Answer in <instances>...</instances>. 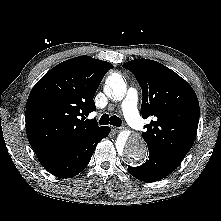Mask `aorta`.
Here are the masks:
<instances>
[{
    "label": "aorta",
    "instance_id": "aorta-1",
    "mask_svg": "<svg viewBox=\"0 0 221 221\" xmlns=\"http://www.w3.org/2000/svg\"><path fill=\"white\" fill-rule=\"evenodd\" d=\"M104 90L109 98L122 100L126 94L127 87L122 76L118 73H113L108 78ZM116 147L129 162L133 163L142 162L148 153L146 143L139 134H120L116 141Z\"/></svg>",
    "mask_w": 221,
    "mask_h": 221
}]
</instances>
